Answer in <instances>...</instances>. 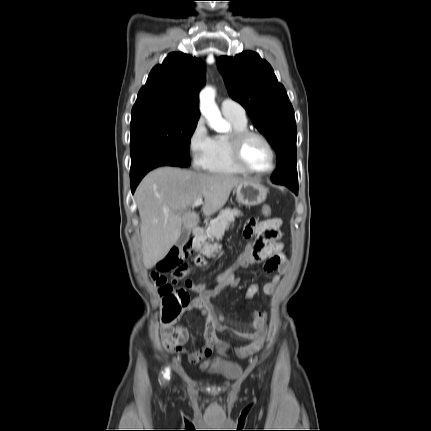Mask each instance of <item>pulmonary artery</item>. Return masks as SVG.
I'll return each instance as SVG.
<instances>
[{"instance_id": "1", "label": "pulmonary artery", "mask_w": 431, "mask_h": 431, "mask_svg": "<svg viewBox=\"0 0 431 431\" xmlns=\"http://www.w3.org/2000/svg\"><path fill=\"white\" fill-rule=\"evenodd\" d=\"M221 111L226 117H233L241 121H246V111L245 109L236 101L225 98L221 102Z\"/></svg>"}]
</instances>
